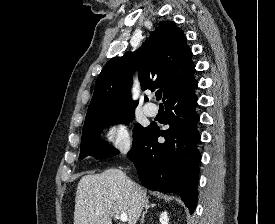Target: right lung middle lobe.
Here are the masks:
<instances>
[{
    "mask_svg": "<svg viewBox=\"0 0 275 224\" xmlns=\"http://www.w3.org/2000/svg\"><path fill=\"white\" fill-rule=\"evenodd\" d=\"M134 118V111L118 113L83 128L80 157L87 155L98 156V158H108L119 154L115 148H110L101 141L100 132L104 126L113 125L120 122H129ZM147 129L140 124H136L133 131V142H135Z\"/></svg>",
    "mask_w": 275,
    "mask_h": 224,
    "instance_id": "right-lung-middle-lobe-1",
    "label": "right lung middle lobe"
}]
</instances>
